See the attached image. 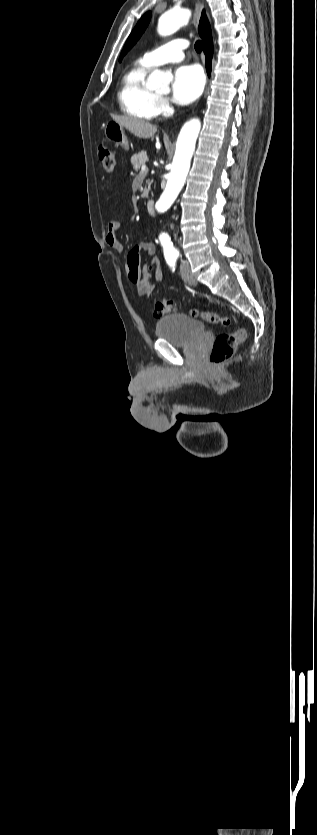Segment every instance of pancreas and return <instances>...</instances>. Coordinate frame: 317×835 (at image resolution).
I'll return each instance as SVG.
<instances>
[{"mask_svg": "<svg viewBox=\"0 0 317 835\" xmlns=\"http://www.w3.org/2000/svg\"><path fill=\"white\" fill-rule=\"evenodd\" d=\"M147 161H148V158H147V154H146V152H145V151H142V152H140V153H138V154H134V155L131 157V163H132L133 168H134V170H135V171H138V170L140 169V167H141L142 165H144ZM141 174H142V175H145V174H146V172H145V171H141ZM147 196H148V189H145V190L143 191V193H142L141 197H142V198H145V197H147Z\"/></svg>", "mask_w": 317, "mask_h": 835, "instance_id": "cf45deb5", "label": "pancreas"}]
</instances>
